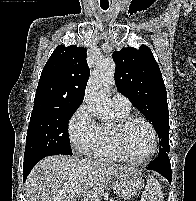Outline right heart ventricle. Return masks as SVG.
<instances>
[{"instance_id": "obj_1", "label": "right heart ventricle", "mask_w": 196, "mask_h": 201, "mask_svg": "<svg viewBox=\"0 0 196 201\" xmlns=\"http://www.w3.org/2000/svg\"><path fill=\"white\" fill-rule=\"evenodd\" d=\"M115 112L118 120L129 116V111L115 109ZM91 155L99 160L126 161L117 148L114 138V125H100V138Z\"/></svg>"}]
</instances>
